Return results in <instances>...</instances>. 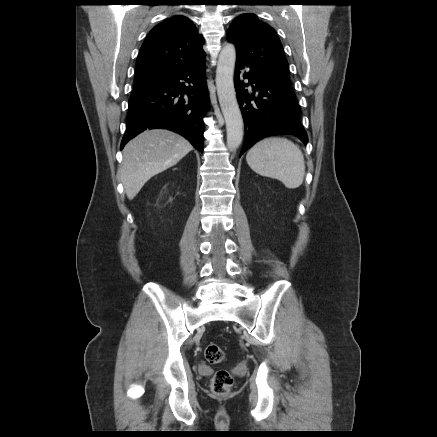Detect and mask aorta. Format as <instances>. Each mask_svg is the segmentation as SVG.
<instances>
[{"instance_id":"762f6f07","label":"aorta","mask_w":437,"mask_h":437,"mask_svg":"<svg viewBox=\"0 0 437 437\" xmlns=\"http://www.w3.org/2000/svg\"><path fill=\"white\" fill-rule=\"evenodd\" d=\"M236 49L226 44L220 54L216 69V86L220 107L226 122L227 147L237 149L243 139V119L234 88Z\"/></svg>"}]
</instances>
